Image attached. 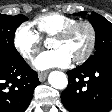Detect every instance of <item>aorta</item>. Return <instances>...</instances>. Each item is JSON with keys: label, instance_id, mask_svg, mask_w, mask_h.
Masks as SVG:
<instances>
[{"label": "aorta", "instance_id": "obj_1", "mask_svg": "<svg viewBox=\"0 0 112 112\" xmlns=\"http://www.w3.org/2000/svg\"><path fill=\"white\" fill-rule=\"evenodd\" d=\"M48 82L53 88L63 90L68 85V78L61 71H52L48 76Z\"/></svg>", "mask_w": 112, "mask_h": 112}]
</instances>
